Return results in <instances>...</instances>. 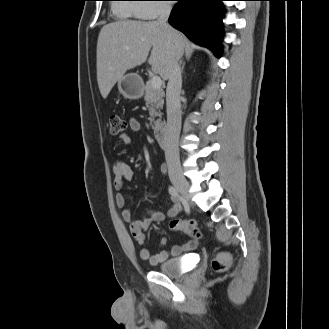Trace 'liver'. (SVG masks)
<instances>
[{
  "mask_svg": "<svg viewBox=\"0 0 329 329\" xmlns=\"http://www.w3.org/2000/svg\"><path fill=\"white\" fill-rule=\"evenodd\" d=\"M186 38L157 21H118L102 27L97 41V82L106 99L125 73L146 62L163 80L170 76L172 64L184 53Z\"/></svg>",
  "mask_w": 329,
  "mask_h": 329,
  "instance_id": "obj_1",
  "label": "liver"
}]
</instances>
